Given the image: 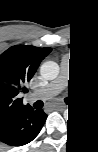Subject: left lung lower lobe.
Here are the masks:
<instances>
[{"instance_id": "obj_1", "label": "left lung lower lobe", "mask_w": 98, "mask_h": 152, "mask_svg": "<svg viewBox=\"0 0 98 152\" xmlns=\"http://www.w3.org/2000/svg\"><path fill=\"white\" fill-rule=\"evenodd\" d=\"M70 129L82 139L98 143V109L88 115L79 110V117L71 123Z\"/></svg>"}]
</instances>
